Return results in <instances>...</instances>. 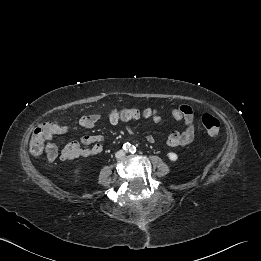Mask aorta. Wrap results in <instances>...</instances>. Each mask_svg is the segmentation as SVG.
<instances>
[{
	"mask_svg": "<svg viewBox=\"0 0 261 261\" xmlns=\"http://www.w3.org/2000/svg\"><path fill=\"white\" fill-rule=\"evenodd\" d=\"M128 150L131 152V151H133V146H129L128 147Z\"/></svg>",
	"mask_w": 261,
	"mask_h": 261,
	"instance_id": "obj_1",
	"label": "aorta"
}]
</instances>
